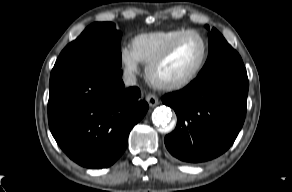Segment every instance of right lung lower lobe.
<instances>
[{"label": "right lung lower lobe", "instance_id": "obj_1", "mask_svg": "<svg viewBox=\"0 0 292 192\" xmlns=\"http://www.w3.org/2000/svg\"><path fill=\"white\" fill-rule=\"evenodd\" d=\"M48 121L61 149L87 168L111 166L148 110L136 87L102 57L58 58L50 76Z\"/></svg>", "mask_w": 292, "mask_h": 192}]
</instances>
